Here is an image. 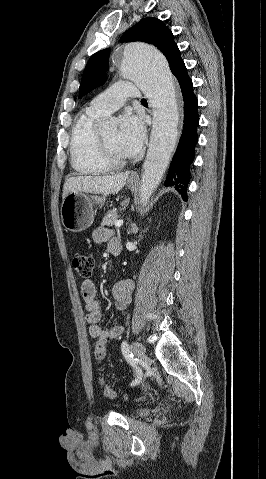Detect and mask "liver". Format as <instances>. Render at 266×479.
<instances>
[{"mask_svg": "<svg viewBox=\"0 0 266 479\" xmlns=\"http://www.w3.org/2000/svg\"><path fill=\"white\" fill-rule=\"evenodd\" d=\"M129 172L104 176L70 177L63 186L64 199L69 193L89 192L95 194H111L119 192L128 179Z\"/></svg>", "mask_w": 266, "mask_h": 479, "instance_id": "6515ba94", "label": "liver"}]
</instances>
